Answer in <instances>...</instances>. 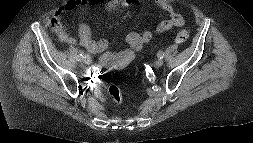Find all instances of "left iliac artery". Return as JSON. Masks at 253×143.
Masks as SVG:
<instances>
[{
  "label": "left iliac artery",
  "instance_id": "left-iliac-artery-1",
  "mask_svg": "<svg viewBox=\"0 0 253 143\" xmlns=\"http://www.w3.org/2000/svg\"><path fill=\"white\" fill-rule=\"evenodd\" d=\"M157 56H158V58H163V57H164V52L159 51V52L157 53Z\"/></svg>",
  "mask_w": 253,
  "mask_h": 143
}]
</instances>
